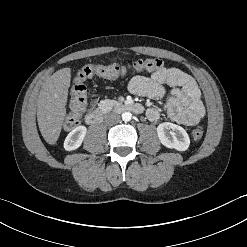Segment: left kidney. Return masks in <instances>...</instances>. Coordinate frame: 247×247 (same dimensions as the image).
<instances>
[{"mask_svg":"<svg viewBox=\"0 0 247 247\" xmlns=\"http://www.w3.org/2000/svg\"><path fill=\"white\" fill-rule=\"evenodd\" d=\"M157 135L160 142L167 148L177 151H186L189 148V136L179 125L170 122L162 123L157 127Z\"/></svg>","mask_w":247,"mask_h":247,"instance_id":"1","label":"left kidney"}]
</instances>
